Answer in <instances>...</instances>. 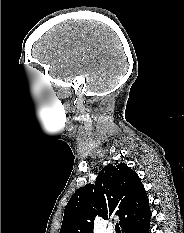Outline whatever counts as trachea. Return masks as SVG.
I'll return each mask as SVG.
<instances>
[{"label": "trachea", "instance_id": "1", "mask_svg": "<svg viewBox=\"0 0 184 233\" xmlns=\"http://www.w3.org/2000/svg\"><path fill=\"white\" fill-rule=\"evenodd\" d=\"M115 231H116V233H121V230H120L118 223H116V225H115Z\"/></svg>", "mask_w": 184, "mask_h": 233}]
</instances>
